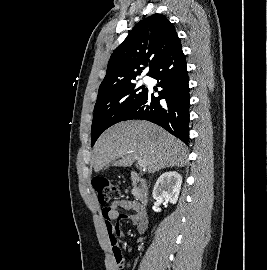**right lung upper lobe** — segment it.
<instances>
[{
	"instance_id": "1",
	"label": "right lung upper lobe",
	"mask_w": 267,
	"mask_h": 270,
	"mask_svg": "<svg viewBox=\"0 0 267 270\" xmlns=\"http://www.w3.org/2000/svg\"><path fill=\"white\" fill-rule=\"evenodd\" d=\"M180 39L164 15L154 14L139 21L114 50L99 91L135 80L147 64L151 76L163 58Z\"/></svg>"
}]
</instances>
